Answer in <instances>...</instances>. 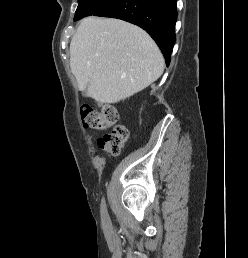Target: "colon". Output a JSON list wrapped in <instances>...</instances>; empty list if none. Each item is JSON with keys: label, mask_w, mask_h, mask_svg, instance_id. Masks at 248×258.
<instances>
[{"label": "colon", "mask_w": 248, "mask_h": 258, "mask_svg": "<svg viewBox=\"0 0 248 258\" xmlns=\"http://www.w3.org/2000/svg\"><path fill=\"white\" fill-rule=\"evenodd\" d=\"M81 122L86 128L103 129L111 127V131L98 139V147L101 151L110 155H118L123 144L128 138L127 128L119 123L118 112L110 104L100 105V110L90 105L80 108Z\"/></svg>", "instance_id": "5ec220e1"}]
</instances>
